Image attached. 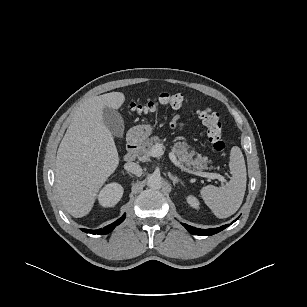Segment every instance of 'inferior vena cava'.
Listing matches in <instances>:
<instances>
[{
  "label": "inferior vena cava",
  "instance_id": "1",
  "mask_svg": "<svg viewBox=\"0 0 307 307\" xmlns=\"http://www.w3.org/2000/svg\"><path fill=\"white\" fill-rule=\"evenodd\" d=\"M125 170L135 174L136 176L142 175V168L139 164L134 162H128L124 165Z\"/></svg>",
  "mask_w": 307,
  "mask_h": 307
}]
</instances>
